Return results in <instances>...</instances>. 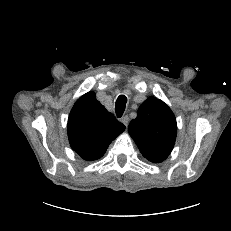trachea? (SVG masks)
Listing matches in <instances>:
<instances>
[{
  "label": "trachea",
  "instance_id": "1",
  "mask_svg": "<svg viewBox=\"0 0 231 231\" xmlns=\"http://www.w3.org/2000/svg\"><path fill=\"white\" fill-rule=\"evenodd\" d=\"M127 98L124 95H120L116 100L115 112L118 118H121L126 106Z\"/></svg>",
  "mask_w": 231,
  "mask_h": 231
}]
</instances>
